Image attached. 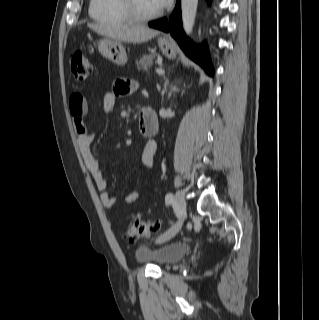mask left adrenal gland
I'll return each instance as SVG.
<instances>
[{"instance_id":"a2214340","label":"left adrenal gland","mask_w":319,"mask_h":320,"mask_svg":"<svg viewBox=\"0 0 319 320\" xmlns=\"http://www.w3.org/2000/svg\"><path fill=\"white\" fill-rule=\"evenodd\" d=\"M167 85H168V79H166V81H165V85H164L165 91H167Z\"/></svg>"}]
</instances>
